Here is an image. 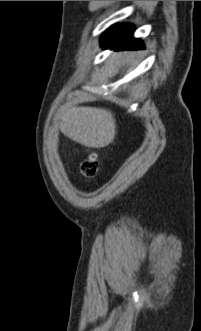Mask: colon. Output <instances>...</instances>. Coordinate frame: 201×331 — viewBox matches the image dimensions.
Instances as JSON below:
<instances>
[{"instance_id": "1", "label": "colon", "mask_w": 201, "mask_h": 331, "mask_svg": "<svg viewBox=\"0 0 201 331\" xmlns=\"http://www.w3.org/2000/svg\"><path fill=\"white\" fill-rule=\"evenodd\" d=\"M97 169H98V162L94 155H91L90 157H88L82 163V166H81L82 174L87 178L93 177L96 174Z\"/></svg>"}]
</instances>
